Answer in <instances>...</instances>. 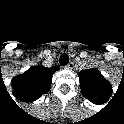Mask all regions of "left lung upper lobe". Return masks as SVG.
I'll return each mask as SVG.
<instances>
[{
    "mask_svg": "<svg viewBox=\"0 0 124 124\" xmlns=\"http://www.w3.org/2000/svg\"><path fill=\"white\" fill-rule=\"evenodd\" d=\"M81 93L87 99L94 100L105 90L107 81L97 69L79 72Z\"/></svg>",
    "mask_w": 124,
    "mask_h": 124,
    "instance_id": "left-lung-upper-lobe-1",
    "label": "left lung upper lobe"
}]
</instances>
